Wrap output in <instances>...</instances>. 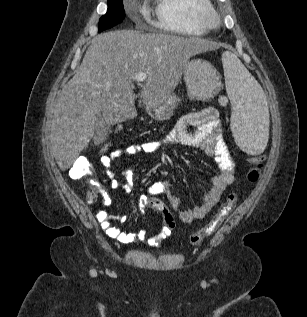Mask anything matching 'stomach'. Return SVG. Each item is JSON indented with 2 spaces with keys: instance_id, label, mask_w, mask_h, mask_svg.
Listing matches in <instances>:
<instances>
[{
  "instance_id": "0dacf381",
  "label": "stomach",
  "mask_w": 307,
  "mask_h": 317,
  "mask_svg": "<svg viewBox=\"0 0 307 317\" xmlns=\"http://www.w3.org/2000/svg\"><path fill=\"white\" fill-rule=\"evenodd\" d=\"M183 76L191 100L210 99L220 90L221 82L216 69L204 59L194 58L187 61ZM177 101L175 96H170L162 102L145 103L146 112L155 120H167L172 116Z\"/></svg>"
}]
</instances>
